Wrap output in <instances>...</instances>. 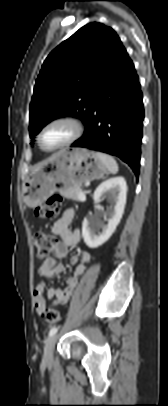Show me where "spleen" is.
Returning a JSON list of instances; mask_svg holds the SVG:
<instances>
[{
	"label": "spleen",
	"instance_id": "3e777b00",
	"mask_svg": "<svg viewBox=\"0 0 168 406\" xmlns=\"http://www.w3.org/2000/svg\"><path fill=\"white\" fill-rule=\"evenodd\" d=\"M97 157L106 165L110 173L116 174L118 172V165L113 157L101 152H97Z\"/></svg>",
	"mask_w": 168,
	"mask_h": 406
}]
</instances>
